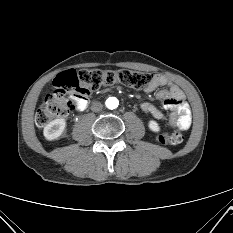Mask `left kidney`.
Here are the masks:
<instances>
[{"label": "left kidney", "instance_id": "5707ae66", "mask_svg": "<svg viewBox=\"0 0 233 233\" xmlns=\"http://www.w3.org/2000/svg\"><path fill=\"white\" fill-rule=\"evenodd\" d=\"M149 129L153 132H159L160 131V127L158 125V123L154 120H150L148 123Z\"/></svg>", "mask_w": 233, "mask_h": 233}]
</instances>
